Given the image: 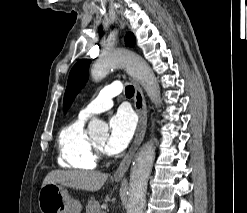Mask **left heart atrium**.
Wrapping results in <instances>:
<instances>
[{
	"label": "left heart atrium",
	"mask_w": 247,
	"mask_h": 213,
	"mask_svg": "<svg viewBox=\"0 0 247 213\" xmlns=\"http://www.w3.org/2000/svg\"><path fill=\"white\" fill-rule=\"evenodd\" d=\"M136 127L134 116L120 110L109 120L110 135L104 146L109 154H118L130 143Z\"/></svg>",
	"instance_id": "39dd6f15"
}]
</instances>
